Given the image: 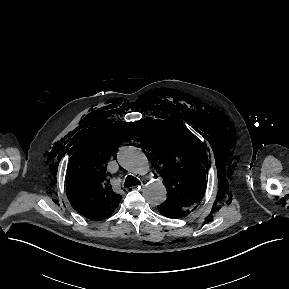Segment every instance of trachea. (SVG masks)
Returning a JSON list of instances; mask_svg holds the SVG:
<instances>
[{
	"label": "trachea",
	"mask_w": 289,
	"mask_h": 289,
	"mask_svg": "<svg viewBox=\"0 0 289 289\" xmlns=\"http://www.w3.org/2000/svg\"><path fill=\"white\" fill-rule=\"evenodd\" d=\"M136 185H140V181L137 178L131 175L126 177L125 182H124L125 188H129V187L136 186Z\"/></svg>",
	"instance_id": "1"
}]
</instances>
